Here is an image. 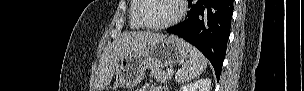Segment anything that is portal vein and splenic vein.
Masks as SVG:
<instances>
[{
  "label": "portal vein and splenic vein",
  "mask_w": 304,
  "mask_h": 91,
  "mask_svg": "<svg viewBox=\"0 0 304 91\" xmlns=\"http://www.w3.org/2000/svg\"><path fill=\"white\" fill-rule=\"evenodd\" d=\"M168 73H169V74H173V70H172V69H169V70H168Z\"/></svg>",
  "instance_id": "1"
}]
</instances>
